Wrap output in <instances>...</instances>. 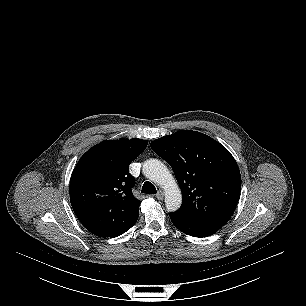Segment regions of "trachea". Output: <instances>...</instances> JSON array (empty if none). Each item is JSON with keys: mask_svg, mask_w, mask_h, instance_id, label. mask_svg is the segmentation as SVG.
Wrapping results in <instances>:
<instances>
[{"mask_svg": "<svg viewBox=\"0 0 306 306\" xmlns=\"http://www.w3.org/2000/svg\"><path fill=\"white\" fill-rule=\"evenodd\" d=\"M142 193H145V194H156V188L155 186L149 182V181H146L144 184H143V187H142Z\"/></svg>", "mask_w": 306, "mask_h": 306, "instance_id": "1", "label": "trachea"}]
</instances>
